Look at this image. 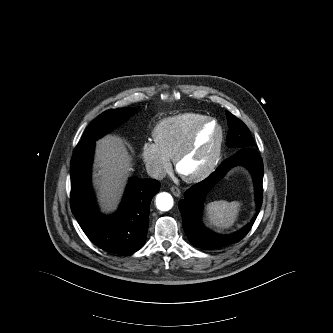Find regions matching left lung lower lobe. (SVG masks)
Listing matches in <instances>:
<instances>
[{"instance_id":"left-lung-lower-lobe-1","label":"left lung lower lobe","mask_w":333,"mask_h":333,"mask_svg":"<svg viewBox=\"0 0 333 333\" xmlns=\"http://www.w3.org/2000/svg\"><path fill=\"white\" fill-rule=\"evenodd\" d=\"M236 165L247 167L252 173L255 185L257 212L244 228L231 235H220L207 229L201 222L204 198L210 188L225 173ZM263 162L258 152L252 147L241 148L233 156L223 161L220 166L205 180L193 185L178 203L182 214L183 228L192 245L202 249H218L239 242L249 232L259 213L262 204Z\"/></svg>"}]
</instances>
